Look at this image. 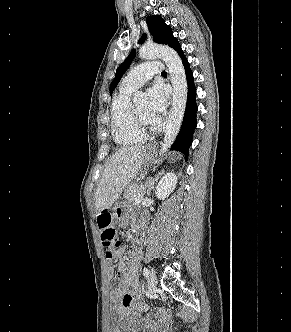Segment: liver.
<instances>
[{
    "label": "liver",
    "instance_id": "6515ba94",
    "mask_svg": "<svg viewBox=\"0 0 291 332\" xmlns=\"http://www.w3.org/2000/svg\"><path fill=\"white\" fill-rule=\"evenodd\" d=\"M146 147L135 145L116 151L108 160L95 192L96 214L109 209L141 170Z\"/></svg>",
    "mask_w": 291,
    "mask_h": 332
}]
</instances>
